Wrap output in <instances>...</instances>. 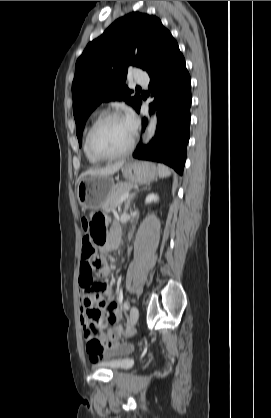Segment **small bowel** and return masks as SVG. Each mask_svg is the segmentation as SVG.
Segmentation results:
<instances>
[{
    "mask_svg": "<svg viewBox=\"0 0 271 418\" xmlns=\"http://www.w3.org/2000/svg\"><path fill=\"white\" fill-rule=\"evenodd\" d=\"M118 230L115 226L112 232ZM80 299H81V324L84 337L87 341V352L92 362L108 358L114 354L128 349L127 345L119 344L117 339L121 335V328L117 326L121 320V312L117 303L112 298V293L105 282L95 283L93 276L106 279L110 269L105 265V257L95 255V243L89 242L88 237L80 238ZM89 264V272L87 270ZM89 312H97L101 326L97 336L101 348L94 350L89 347L93 336L89 330L93 326V320ZM105 329V331H103Z\"/></svg>",
    "mask_w": 271,
    "mask_h": 418,
    "instance_id": "1",
    "label": "small bowel"
}]
</instances>
